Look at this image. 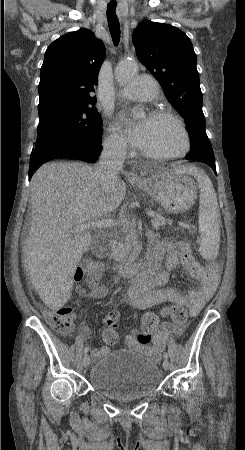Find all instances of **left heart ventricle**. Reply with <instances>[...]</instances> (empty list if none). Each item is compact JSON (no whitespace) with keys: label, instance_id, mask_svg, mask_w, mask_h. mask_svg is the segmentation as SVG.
<instances>
[{"label":"left heart ventricle","instance_id":"left-heart-ventricle-1","mask_svg":"<svg viewBox=\"0 0 245 450\" xmlns=\"http://www.w3.org/2000/svg\"><path fill=\"white\" fill-rule=\"evenodd\" d=\"M147 131L142 149L155 154H173L179 152L184 139L179 128L167 119H146Z\"/></svg>","mask_w":245,"mask_h":450}]
</instances>
